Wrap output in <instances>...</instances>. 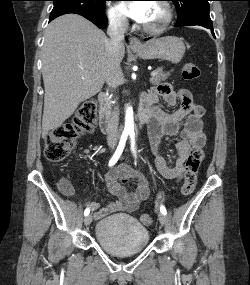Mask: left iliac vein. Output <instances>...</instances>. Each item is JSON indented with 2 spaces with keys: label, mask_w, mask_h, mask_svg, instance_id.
Masks as SVG:
<instances>
[{
  "label": "left iliac vein",
  "mask_w": 250,
  "mask_h": 285,
  "mask_svg": "<svg viewBox=\"0 0 250 285\" xmlns=\"http://www.w3.org/2000/svg\"><path fill=\"white\" fill-rule=\"evenodd\" d=\"M158 219L162 225H166L167 217L163 213H158Z\"/></svg>",
  "instance_id": "1"
}]
</instances>
